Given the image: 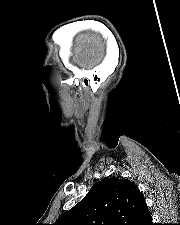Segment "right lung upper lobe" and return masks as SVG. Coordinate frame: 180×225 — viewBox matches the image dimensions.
<instances>
[{"mask_svg":"<svg viewBox=\"0 0 180 225\" xmlns=\"http://www.w3.org/2000/svg\"><path fill=\"white\" fill-rule=\"evenodd\" d=\"M151 222L147 204L137 186L112 177L95 183L54 225H149Z\"/></svg>","mask_w":180,"mask_h":225,"instance_id":"1","label":"right lung upper lobe"}]
</instances>
